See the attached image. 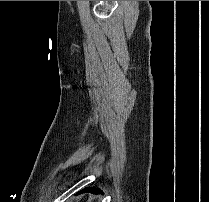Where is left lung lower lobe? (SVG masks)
<instances>
[{"instance_id":"1","label":"left lung lower lobe","mask_w":209,"mask_h":202,"mask_svg":"<svg viewBox=\"0 0 209 202\" xmlns=\"http://www.w3.org/2000/svg\"><path fill=\"white\" fill-rule=\"evenodd\" d=\"M85 192H90V193H94V194H98V193L103 194V192L98 188H85L77 194H81V193H85Z\"/></svg>"}]
</instances>
